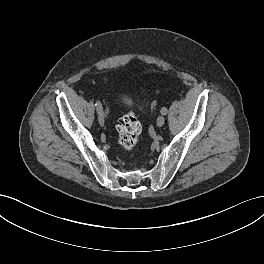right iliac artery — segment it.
Listing matches in <instances>:
<instances>
[{"instance_id":"obj_1","label":"right iliac artery","mask_w":264,"mask_h":264,"mask_svg":"<svg viewBox=\"0 0 264 264\" xmlns=\"http://www.w3.org/2000/svg\"><path fill=\"white\" fill-rule=\"evenodd\" d=\"M95 106H96L98 113L102 112L103 108H102V104L100 103V101H96Z\"/></svg>"}]
</instances>
